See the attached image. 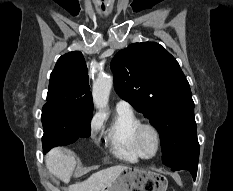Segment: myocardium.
<instances>
[{
  "label": "myocardium",
  "mask_w": 233,
  "mask_h": 191,
  "mask_svg": "<svg viewBox=\"0 0 233 191\" xmlns=\"http://www.w3.org/2000/svg\"><path fill=\"white\" fill-rule=\"evenodd\" d=\"M146 130H150L154 136H155V140H156V149L153 153H149L146 151V149L144 148V145H143V133L146 131ZM135 142L139 148V150L143 153L144 156H146L147 158H152V157H155L160 149H161V135H160V132L158 130V128L150 123V122H143V123H140L136 130H135Z\"/></svg>",
  "instance_id": "obj_1"
}]
</instances>
